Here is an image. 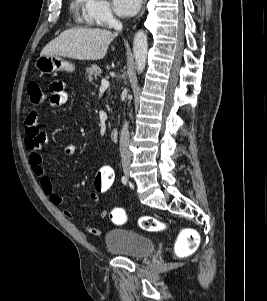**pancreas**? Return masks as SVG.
<instances>
[{
	"label": "pancreas",
	"instance_id": "cf45deb5",
	"mask_svg": "<svg viewBox=\"0 0 267 301\" xmlns=\"http://www.w3.org/2000/svg\"><path fill=\"white\" fill-rule=\"evenodd\" d=\"M101 73V69L97 65L93 64L86 68L85 76L88 78L90 83H93V81L97 80V77H99Z\"/></svg>",
	"mask_w": 267,
	"mask_h": 301
}]
</instances>
